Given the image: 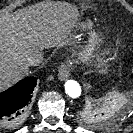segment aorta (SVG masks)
<instances>
[{"instance_id": "1", "label": "aorta", "mask_w": 133, "mask_h": 133, "mask_svg": "<svg viewBox=\"0 0 133 133\" xmlns=\"http://www.w3.org/2000/svg\"><path fill=\"white\" fill-rule=\"evenodd\" d=\"M66 94L71 98H78L81 95V86L75 80H67L64 84Z\"/></svg>"}]
</instances>
